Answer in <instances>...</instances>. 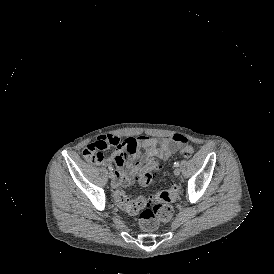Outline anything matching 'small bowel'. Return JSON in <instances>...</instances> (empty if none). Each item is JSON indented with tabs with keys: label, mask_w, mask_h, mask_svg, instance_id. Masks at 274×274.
<instances>
[{
	"label": "small bowel",
	"mask_w": 274,
	"mask_h": 274,
	"mask_svg": "<svg viewBox=\"0 0 274 274\" xmlns=\"http://www.w3.org/2000/svg\"><path fill=\"white\" fill-rule=\"evenodd\" d=\"M179 143H187L185 136L176 134L169 138H154L146 135L120 140L113 135H103L88 145L83 156L93 165H114L113 185L115 188L131 185L143 164L151 158L167 159ZM113 146L114 153L107 157L103 150Z\"/></svg>",
	"instance_id": "small-bowel-1"
}]
</instances>
